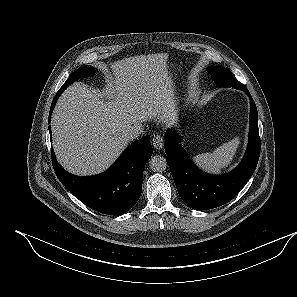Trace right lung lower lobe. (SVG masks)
<instances>
[{
	"label": "right lung lower lobe",
	"mask_w": 297,
	"mask_h": 297,
	"mask_svg": "<svg viewBox=\"0 0 297 297\" xmlns=\"http://www.w3.org/2000/svg\"><path fill=\"white\" fill-rule=\"evenodd\" d=\"M64 88L54 97L51 113ZM50 139L51 128L49 127ZM52 165L60 182L89 208L108 215H121L138 201L142 191L143 169L153 153L150 137L145 136L131 144L105 172L89 177L74 176L57 162L51 148Z\"/></svg>",
	"instance_id": "obj_1"
}]
</instances>
